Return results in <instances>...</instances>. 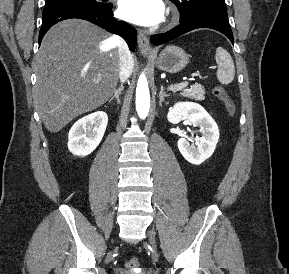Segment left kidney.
<instances>
[{
    "label": "left kidney",
    "mask_w": 289,
    "mask_h": 274,
    "mask_svg": "<svg viewBox=\"0 0 289 274\" xmlns=\"http://www.w3.org/2000/svg\"><path fill=\"white\" fill-rule=\"evenodd\" d=\"M167 119L172 124L187 119L193 126L200 127L202 136L197 137V147L190 145L185 138L178 140V149L188 162L200 165L213 154L219 140V129L201 105L193 102H178L169 109Z\"/></svg>",
    "instance_id": "left-kidney-1"
}]
</instances>
